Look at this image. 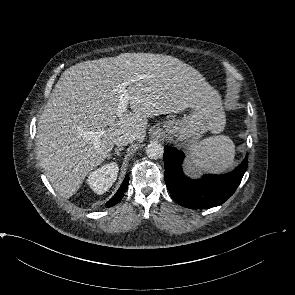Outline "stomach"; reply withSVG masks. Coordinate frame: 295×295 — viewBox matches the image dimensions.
<instances>
[{"instance_id":"stomach-1","label":"stomach","mask_w":295,"mask_h":295,"mask_svg":"<svg viewBox=\"0 0 295 295\" xmlns=\"http://www.w3.org/2000/svg\"><path fill=\"white\" fill-rule=\"evenodd\" d=\"M224 126L222 99L211 87L190 105L189 114L182 119H169L163 124L165 133L185 146L195 144L208 131L221 132Z\"/></svg>"}]
</instances>
